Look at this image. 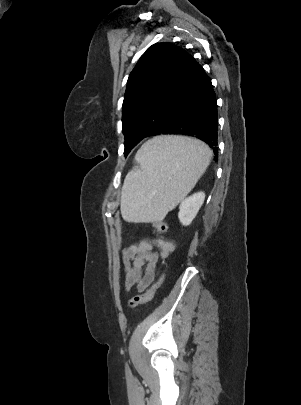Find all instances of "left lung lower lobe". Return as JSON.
Wrapping results in <instances>:
<instances>
[{
  "label": "left lung lower lobe",
  "mask_w": 301,
  "mask_h": 405,
  "mask_svg": "<svg viewBox=\"0 0 301 405\" xmlns=\"http://www.w3.org/2000/svg\"><path fill=\"white\" fill-rule=\"evenodd\" d=\"M217 126V102L211 80L193 59L185 84L153 136L174 134L196 137L208 144L217 156ZM141 140L135 138L131 147Z\"/></svg>",
  "instance_id": "0a47b994"
}]
</instances>
